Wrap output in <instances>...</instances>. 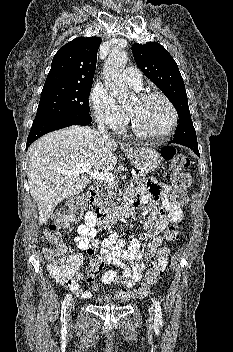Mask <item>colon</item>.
Wrapping results in <instances>:
<instances>
[{"label":"colon","instance_id":"1","mask_svg":"<svg viewBox=\"0 0 233 352\" xmlns=\"http://www.w3.org/2000/svg\"><path fill=\"white\" fill-rule=\"evenodd\" d=\"M162 158L169 162L175 173L172 178L174 190L171 192L170 200L182 206L187 202L186 189L190 184V177L182 170L189 165V160L186 156L178 153L172 146H164L161 149ZM85 199L82 196L75 197L70 204V207L63 213H58L54 216L53 222L46 230V238L51 243L50 246L43 248L45 258L49 262V272L56 279H66L70 277L74 268L68 262L64 255V246L60 240L58 230L65 228L69 224L78 221L85 211ZM178 227L170 226L165 232V238L168 241H173L178 238ZM107 265V257L99 253L95 255L89 262L87 269V282L96 290V278L101 273L102 269ZM163 266L158 262H154L145 275L144 282L139 285L133 292L126 289L116 291L115 296L121 300H127L131 297H145L149 293L151 286L155 285L162 274Z\"/></svg>","mask_w":233,"mask_h":352}]
</instances>
